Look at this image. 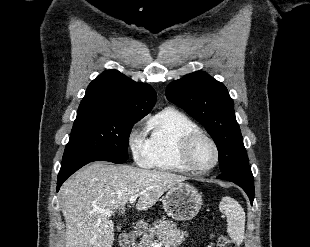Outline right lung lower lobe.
<instances>
[{"label": "right lung lower lobe", "instance_id": "obj_1", "mask_svg": "<svg viewBox=\"0 0 310 247\" xmlns=\"http://www.w3.org/2000/svg\"><path fill=\"white\" fill-rule=\"evenodd\" d=\"M93 161H108L103 159H94V158H88V159H79L74 160L65 164L61 165L60 172L58 174V182H57V191L61 187L62 183L74 172H76L78 169L83 167L84 165L93 162ZM115 163V162H113Z\"/></svg>", "mask_w": 310, "mask_h": 247}]
</instances>
